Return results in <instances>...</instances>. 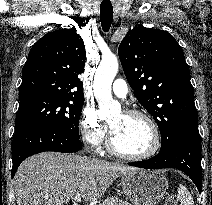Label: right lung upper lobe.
Listing matches in <instances>:
<instances>
[{
	"label": "right lung upper lobe",
	"instance_id": "right-lung-upper-lobe-1",
	"mask_svg": "<svg viewBox=\"0 0 212 205\" xmlns=\"http://www.w3.org/2000/svg\"><path fill=\"white\" fill-rule=\"evenodd\" d=\"M85 60L84 42L75 27L47 33L29 52L19 100L32 96L84 100L79 76L84 71Z\"/></svg>",
	"mask_w": 212,
	"mask_h": 205
}]
</instances>
